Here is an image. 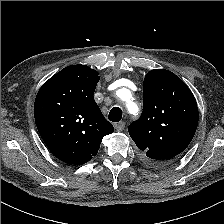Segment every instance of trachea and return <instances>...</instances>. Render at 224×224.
<instances>
[{"mask_svg":"<svg viewBox=\"0 0 224 224\" xmlns=\"http://www.w3.org/2000/svg\"><path fill=\"white\" fill-rule=\"evenodd\" d=\"M108 118L112 122H119L122 118V110L119 107H113L109 112Z\"/></svg>","mask_w":224,"mask_h":224,"instance_id":"obj_1","label":"trachea"}]
</instances>
